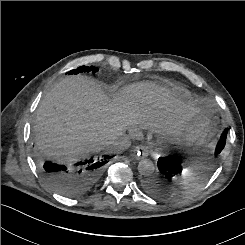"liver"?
Wrapping results in <instances>:
<instances>
[{
    "mask_svg": "<svg viewBox=\"0 0 245 245\" xmlns=\"http://www.w3.org/2000/svg\"><path fill=\"white\" fill-rule=\"evenodd\" d=\"M204 101H184L149 82L127 86L110 98L93 80L69 76L41 101L34 141L48 158L74 162L101 150L129 124L153 128L165 138L176 136Z\"/></svg>",
    "mask_w": 245,
    "mask_h": 245,
    "instance_id": "6515ba94",
    "label": "liver"
}]
</instances>
